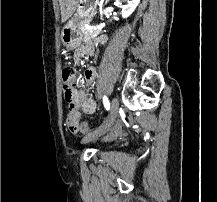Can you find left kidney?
<instances>
[{
	"label": "left kidney",
	"mask_w": 217,
	"mask_h": 202,
	"mask_svg": "<svg viewBox=\"0 0 217 202\" xmlns=\"http://www.w3.org/2000/svg\"><path fill=\"white\" fill-rule=\"evenodd\" d=\"M117 2L118 4L125 2V6H122V18H129L134 10H136L138 4H140V0H117Z\"/></svg>",
	"instance_id": "left-kidney-1"
}]
</instances>
